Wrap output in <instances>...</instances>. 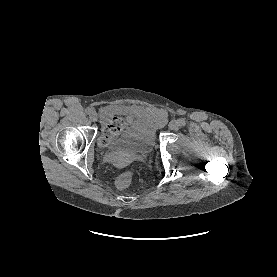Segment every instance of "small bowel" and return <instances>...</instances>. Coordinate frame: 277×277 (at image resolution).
<instances>
[{"label":"small bowel","mask_w":277,"mask_h":277,"mask_svg":"<svg viewBox=\"0 0 277 277\" xmlns=\"http://www.w3.org/2000/svg\"><path fill=\"white\" fill-rule=\"evenodd\" d=\"M132 109L141 116L150 115L154 117L157 124H163L166 120V113L158 108L133 107Z\"/></svg>","instance_id":"1"}]
</instances>
